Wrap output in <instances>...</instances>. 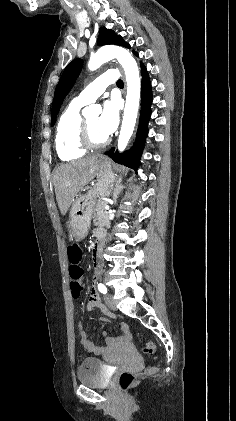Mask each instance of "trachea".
<instances>
[{"instance_id": "obj_1", "label": "trachea", "mask_w": 236, "mask_h": 421, "mask_svg": "<svg viewBox=\"0 0 236 421\" xmlns=\"http://www.w3.org/2000/svg\"><path fill=\"white\" fill-rule=\"evenodd\" d=\"M117 86L118 87H123V80H117Z\"/></svg>"}]
</instances>
